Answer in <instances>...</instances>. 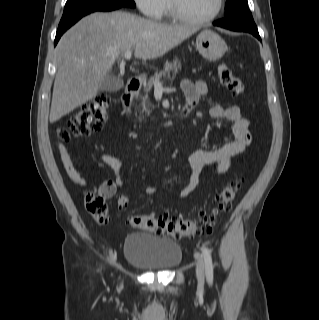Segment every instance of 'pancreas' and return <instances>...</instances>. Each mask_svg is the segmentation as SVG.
Returning a JSON list of instances; mask_svg holds the SVG:
<instances>
[{"instance_id":"pancreas-1","label":"pancreas","mask_w":319,"mask_h":320,"mask_svg":"<svg viewBox=\"0 0 319 320\" xmlns=\"http://www.w3.org/2000/svg\"><path fill=\"white\" fill-rule=\"evenodd\" d=\"M179 69H181V62L177 58H175L173 62H166L163 71L155 73L148 82H144V95L140 97L141 108L143 111H147L146 107L151 105L149 101V93L154 86V82L160 81L163 76H165L166 74L169 75L171 71H173L175 74L178 73Z\"/></svg>"}]
</instances>
